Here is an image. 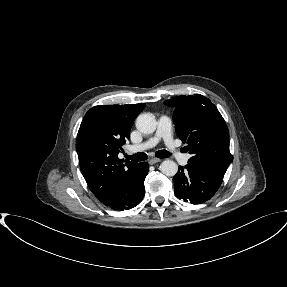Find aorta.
Wrapping results in <instances>:
<instances>
[{"instance_id":"aorta-1","label":"aorta","mask_w":287,"mask_h":287,"mask_svg":"<svg viewBox=\"0 0 287 287\" xmlns=\"http://www.w3.org/2000/svg\"><path fill=\"white\" fill-rule=\"evenodd\" d=\"M157 122L153 114L142 113L136 118V128L144 134H151L156 130ZM160 171L166 176H174L178 171V165L172 160H164L160 165Z\"/></svg>"}]
</instances>
